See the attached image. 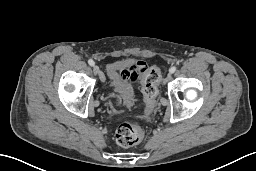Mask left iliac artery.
I'll list each match as a JSON object with an SVG mask.
<instances>
[{"label":"left iliac artery","mask_w":256,"mask_h":171,"mask_svg":"<svg viewBox=\"0 0 256 171\" xmlns=\"http://www.w3.org/2000/svg\"><path fill=\"white\" fill-rule=\"evenodd\" d=\"M170 71L171 73H174L176 71V66L171 67Z\"/></svg>","instance_id":"44dca946"}]
</instances>
